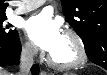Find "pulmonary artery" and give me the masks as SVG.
Here are the masks:
<instances>
[{"mask_svg":"<svg viewBox=\"0 0 107 75\" xmlns=\"http://www.w3.org/2000/svg\"><path fill=\"white\" fill-rule=\"evenodd\" d=\"M46 0H23L15 10L16 14L27 13L41 6Z\"/></svg>","mask_w":107,"mask_h":75,"instance_id":"pulmonary-artery-1","label":"pulmonary artery"}]
</instances>
